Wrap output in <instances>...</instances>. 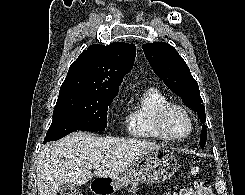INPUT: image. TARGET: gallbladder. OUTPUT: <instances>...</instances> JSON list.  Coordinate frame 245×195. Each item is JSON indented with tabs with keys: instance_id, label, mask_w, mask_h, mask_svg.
Listing matches in <instances>:
<instances>
[{
	"instance_id": "1",
	"label": "gallbladder",
	"mask_w": 245,
	"mask_h": 195,
	"mask_svg": "<svg viewBox=\"0 0 245 195\" xmlns=\"http://www.w3.org/2000/svg\"><path fill=\"white\" fill-rule=\"evenodd\" d=\"M75 190L74 184L68 182V183H62L59 186L58 192L60 195H70Z\"/></svg>"
}]
</instances>
